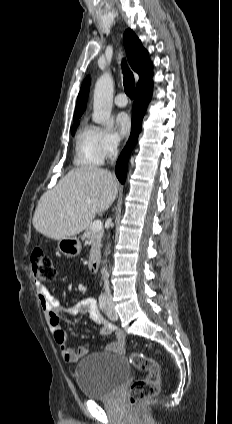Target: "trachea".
<instances>
[{
    "instance_id": "1",
    "label": "trachea",
    "mask_w": 232,
    "mask_h": 424,
    "mask_svg": "<svg viewBox=\"0 0 232 424\" xmlns=\"http://www.w3.org/2000/svg\"><path fill=\"white\" fill-rule=\"evenodd\" d=\"M122 69H123V73H124V90H125V93L130 98H133L134 90H135V80H134L133 74H132L131 71H129L128 66L126 65V62L122 63Z\"/></svg>"
}]
</instances>
